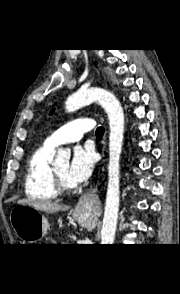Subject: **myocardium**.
I'll return each instance as SVG.
<instances>
[{"mask_svg":"<svg viewBox=\"0 0 180 294\" xmlns=\"http://www.w3.org/2000/svg\"><path fill=\"white\" fill-rule=\"evenodd\" d=\"M52 175L53 187L58 194L70 195L75 192V188L66 186L55 167H52Z\"/></svg>","mask_w":180,"mask_h":294,"instance_id":"1","label":"myocardium"}]
</instances>
